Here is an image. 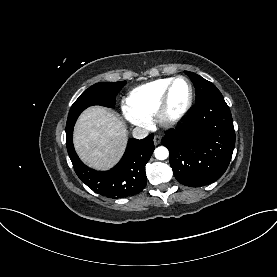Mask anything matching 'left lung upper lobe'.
Returning <instances> with one entry per match:
<instances>
[{"mask_svg": "<svg viewBox=\"0 0 277 277\" xmlns=\"http://www.w3.org/2000/svg\"><path fill=\"white\" fill-rule=\"evenodd\" d=\"M185 73L194 83L196 92V104L207 99L208 97L222 95L213 83L207 81L206 79L195 73L189 71H185Z\"/></svg>", "mask_w": 277, "mask_h": 277, "instance_id": "1", "label": "left lung upper lobe"}]
</instances>
